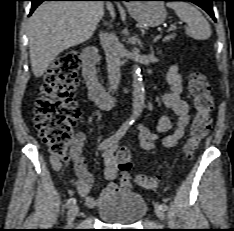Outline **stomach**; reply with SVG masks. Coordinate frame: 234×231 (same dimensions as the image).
<instances>
[{"mask_svg": "<svg viewBox=\"0 0 234 231\" xmlns=\"http://www.w3.org/2000/svg\"><path fill=\"white\" fill-rule=\"evenodd\" d=\"M131 16L143 25L156 27L162 24L167 16L163 2H136L130 8Z\"/></svg>", "mask_w": 234, "mask_h": 231, "instance_id": "obj_1", "label": "stomach"}]
</instances>
